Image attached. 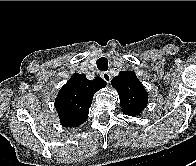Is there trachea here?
Listing matches in <instances>:
<instances>
[{
    "label": "trachea",
    "mask_w": 196,
    "mask_h": 166,
    "mask_svg": "<svg viewBox=\"0 0 196 166\" xmlns=\"http://www.w3.org/2000/svg\"><path fill=\"white\" fill-rule=\"evenodd\" d=\"M97 68L100 71H107L108 70V60L105 57H101L96 62Z\"/></svg>",
    "instance_id": "trachea-1"
}]
</instances>
